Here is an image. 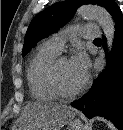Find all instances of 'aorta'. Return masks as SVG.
I'll list each match as a JSON object with an SVG mask.
<instances>
[{
	"instance_id": "1",
	"label": "aorta",
	"mask_w": 123,
	"mask_h": 130,
	"mask_svg": "<svg viewBox=\"0 0 123 130\" xmlns=\"http://www.w3.org/2000/svg\"><path fill=\"white\" fill-rule=\"evenodd\" d=\"M77 15L99 23L107 40L108 52H110L113 46L115 24L109 12L97 5H83L77 10Z\"/></svg>"
}]
</instances>
